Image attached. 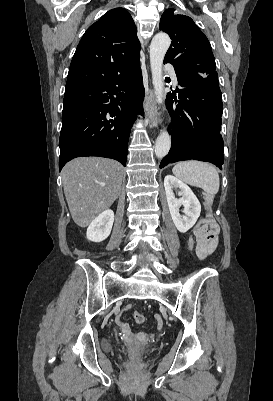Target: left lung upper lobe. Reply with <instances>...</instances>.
Wrapping results in <instances>:
<instances>
[{"mask_svg": "<svg viewBox=\"0 0 273 401\" xmlns=\"http://www.w3.org/2000/svg\"><path fill=\"white\" fill-rule=\"evenodd\" d=\"M159 27L172 39L164 60L190 74L206 76L216 72L210 43L190 17L168 9L162 14Z\"/></svg>", "mask_w": 273, "mask_h": 401, "instance_id": "left-lung-upper-lobe-1", "label": "left lung upper lobe"}]
</instances>
